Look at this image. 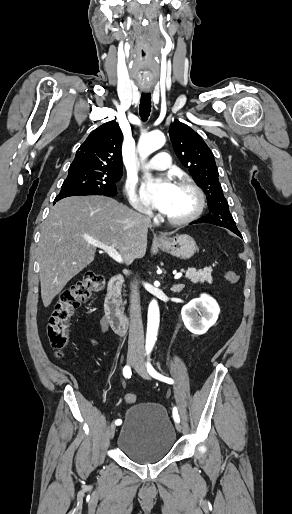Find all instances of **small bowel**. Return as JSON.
<instances>
[{
  "label": "small bowel",
  "instance_id": "c3829d8e",
  "mask_svg": "<svg viewBox=\"0 0 292 514\" xmlns=\"http://www.w3.org/2000/svg\"><path fill=\"white\" fill-rule=\"evenodd\" d=\"M101 328H102V331L104 333L107 332V330H108V321H107V318H105V317H103L101 319ZM89 342L91 344H93V345H97L98 344V342L96 340H94V339H90Z\"/></svg>",
  "mask_w": 292,
  "mask_h": 514
}]
</instances>
